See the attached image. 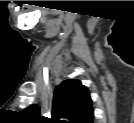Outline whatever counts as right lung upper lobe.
I'll return each mask as SVG.
<instances>
[{
  "mask_svg": "<svg viewBox=\"0 0 134 123\" xmlns=\"http://www.w3.org/2000/svg\"><path fill=\"white\" fill-rule=\"evenodd\" d=\"M25 114L41 119L40 108L34 104L24 110ZM52 121L66 123H92L94 111L89 90L81 81L68 79L58 85L54 92ZM67 119L60 120V119Z\"/></svg>",
  "mask_w": 134,
  "mask_h": 123,
  "instance_id": "right-lung-upper-lobe-1",
  "label": "right lung upper lobe"
}]
</instances>
